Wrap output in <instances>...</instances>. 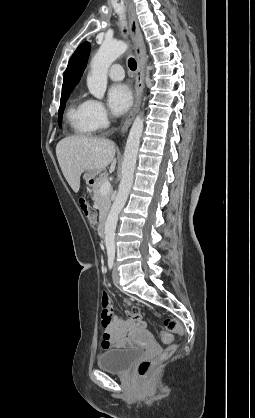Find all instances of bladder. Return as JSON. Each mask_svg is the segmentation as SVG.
I'll use <instances>...</instances> for the list:
<instances>
[{
	"mask_svg": "<svg viewBox=\"0 0 255 418\" xmlns=\"http://www.w3.org/2000/svg\"><path fill=\"white\" fill-rule=\"evenodd\" d=\"M141 354L142 349L138 347L106 350L97 357V366L108 372L125 373Z\"/></svg>",
	"mask_w": 255,
	"mask_h": 418,
	"instance_id": "obj_1",
	"label": "bladder"
}]
</instances>
